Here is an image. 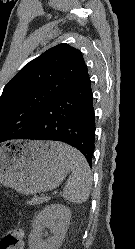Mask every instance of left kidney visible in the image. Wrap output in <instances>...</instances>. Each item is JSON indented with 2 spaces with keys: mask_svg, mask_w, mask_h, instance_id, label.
<instances>
[{
  "mask_svg": "<svg viewBox=\"0 0 135 249\" xmlns=\"http://www.w3.org/2000/svg\"><path fill=\"white\" fill-rule=\"evenodd\" d=\"M70 218L71 211L66 206L50 204L43 208L32 222L28 238L29 249H59L68 230ZM45 228H49L53 235L43 240Z\"/></svg>",
  "mask_w": 135,
  "mask_h": 249,
  "instance_id": "obj_1",
  "label": "left kidney"
}]
</instances>
